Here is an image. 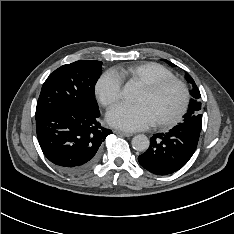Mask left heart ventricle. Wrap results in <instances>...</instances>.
Returning <instances> with one entry per match:
<instances>
[{
  "mask_svg": "<svg viewBox=\"0 0 234 234\" xmlns=\"http://www.w3.org/2000/svg\"><path fill=\"white\" fill-rule=\"evenodd\" d=\"M182 101V93L175 85L168 86L154 95L139 91L135 103L142 104L150 113L153 122L164 120L173 115Z\"/></svg>",
  "mask_w": 234,
  "mask_h": 234,
  "instance_id": "obj_1",
  "label": "left heart ventricle"
}]
</instances>
